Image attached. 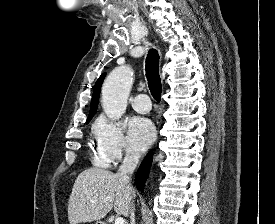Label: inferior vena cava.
Masks as SVG:
<instances>
[{"label": "inferior vena cava", "mask_w": 275, "mask_h": 224, "mask_svg": "<svg viewBox=\"0 0 275 224\" xmlns=\"http://www.w3.org/2000/svg\"><path fill=\"white\" fill-rule=\"evenodd\" d=\"M139 158H140V154L138 152L128 149L126 151L124 160H123L121 166L119 167L117 174L121 177V180L125 184H127L129 187H131L130 176L134 172V170L138 164ZM130 220H131V224H134L135 215H134L133 205H131V208H130Z\"/></svg>", "instance_id": "602c4592"}]
</instances>
